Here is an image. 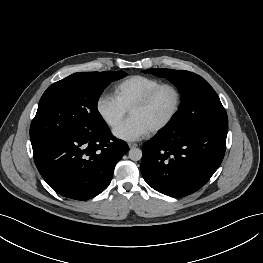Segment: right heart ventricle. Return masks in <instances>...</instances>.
Masks as SVG:
<instances>
[{
    "mask_svg": "<svg viewBox=\"0 0 263 263\" xmlns=\"http://www.w3.org/2000/svg\"><path fill=\"white\" fill-rule=\"evenodd\" d=\"M160 83L162 82L159 79L153 77L130 76L114 86L113 96L126 110H129L134 103Z\"/></svg>",
    "mask_w": 263,
    "mask_h": 263,
    "instance_id": "1",
    "label": "right heart ventricle"
}]
</instances>
